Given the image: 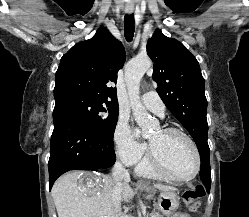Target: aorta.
I'll use <instances>...</instances> for the list:
<instances>
[{
  "label": "aorta",
  "mask_w": 249,
  "mask_h": 217,
  "mask_svg": "<svg viewBox=\"0 0 249 217\" xmlns=\"http://www.w3.org/2000/svg\"><path fill=\"white\" fill-rule=\"evenodd\" d=\"M151 66L152 62L148 57H137L131 60L125 69L133 115L143 131H147L155 125V121L150 118L145 107L139 102L140 81Z\"/></svg>",
  "instance_id": "762f6f07"
}]
</instances>
